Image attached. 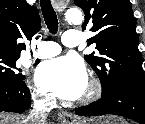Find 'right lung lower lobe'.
<instances>
[{
    "label": "right lung lower lobe",
    "mask_w": 145,
    "mask_h": 124,
    "mask_svg": "<svg viewBox=\"0 0 145 124\" xmlns=\"http://www.w3.org/2000/svg\"><path fill=\"white\" fill-rule=\"evenodd\" d=\"M30 104V91L24 80H0V112L22 113Z\"/></svg>",
    "instance_id": "1"
}]
</instances>
